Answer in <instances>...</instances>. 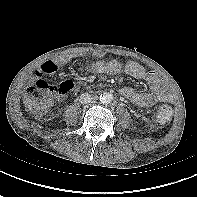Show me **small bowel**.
<instances>
[{"label": "small bowel", "mask_w": 197, "mask_h": 197, "mask_svg": "<svg viewBox=\"0 0 197 197\" xmlns=\"http://www.w3.org/2000/svg\"><path fill=\"white\" fill-rule=\"evenodd\" d=\"M97 58H102L104 53L97 51L94 53ZM74 55H68L57 60L47 61L43 63L36 72L37 76L55 74L63 65L68 63ZM124 72L137 79L145 81L150 91L141 92L132 87H124L121 89V94L132 103L141 106H152L160 101H169L173 99L169 83L154 71H146L136 62H128L124 66ZM122 70V65L116 59L107 61L97 60L89 66V71L93 74H108L115 75Z\"/></svg>", "instance_id": "obj_1"}]
</instances>
